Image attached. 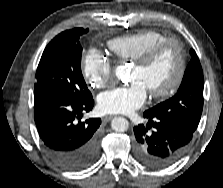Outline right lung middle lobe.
<instances>
[{"mask_svg": "<svg viewBox=\"0 0 223 188\" xmlns=\"http://www.w3.org/2000/svg\"><path fill=\"white\" fill-rule=\"evenodd\" d=\"M87 32L88 29L74 28L51 40L37 68L35 91L52 92L76 100L92 97L81 73L82 47L79 39Z\"/></svg>", "mask_w": 223, "mask_h": 188, "instance_id": "right-lung-middle-lobe-1", "label": "right lung middle lobe"}]
</instances>
